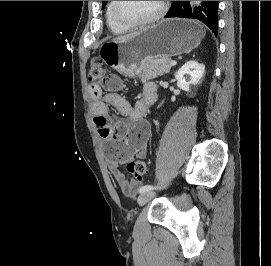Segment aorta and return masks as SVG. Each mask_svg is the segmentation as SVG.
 <instances>
[{"label":"aorta","mask_w":271,"mask_h":266,"mask_svg":"<svg viewBox=\"0 0 271 266\" xmlns=\"http://www.w3.org/2000/svg\"><path fill=\"white\" fill-rule=\"evenodd\" d=\"M202 1H191V4L192 5H198V4H200Z\"/></svg>","instance_id":"obj_1"}]
</instances>
